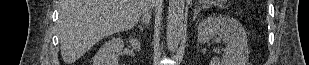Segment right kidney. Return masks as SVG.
<instances>
[{
	"label": "right kidney",
	"instance_id": "obj_1",
	"mask_svg": "<svg viewBox=\"0 0 309 65\" xmlns=\"http://www.w3.org/2000/svg\"><path fill=\"white\" fill-rule=\"evenodd\" d=\"M129 43L132 48L139 52L141 50V43L136 38H130ZM124 48V41L120 37H113L105 42L96 53L93 64L94 65H117L118 58Z\"/></svg>",
	"mask_w": 309,
	"mask_h": 65
}]
</instances>
